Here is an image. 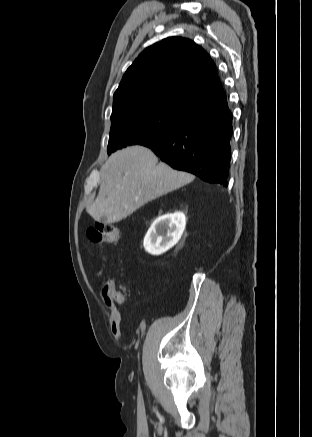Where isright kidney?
I'll return each mask as SVG.
<instances>
[{
	"label": "right kidney",
	"mask_w": 312,
	"mask_h": 437,
	"mask_svg": "<svg viewBox=\"0 0 312 437\" xmlns=\"http://www.w3.org/2000/svg\"><path fill=\"white\" fill-rule=\"evenodd\" d=\"M186 226L182 212L166 214L156 219L144 238V248L152 255H160L180 240Z\"/></svg>",
	"instance_id": "ca27d5eb"
}]
</instances>
